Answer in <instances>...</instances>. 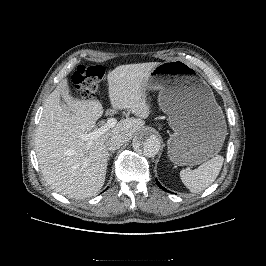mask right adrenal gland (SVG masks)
Instances as JSON below:
<instances>
[{
  "label": "right adrenal gland",
  "instance_id": "1",
  "mask_svg": "<svg viewBox=\"0 0 266 266\" xmlns=\"http://www.w3.org/2000/svg\"><path fill=\"white\" fill-rule=\"evenodd\" d=\"M112 153H113V152H110V153H109V156H110Z\"/></svg>",
  "mask_w": 266,
  "mask_h": 266
}]
</instances>
